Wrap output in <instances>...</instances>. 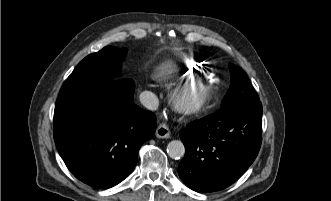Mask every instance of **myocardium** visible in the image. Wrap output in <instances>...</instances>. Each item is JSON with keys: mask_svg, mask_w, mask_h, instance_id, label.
Instances as JSON below:
<instances>
[{"mask_svg": "<svg viewBox=\"0 0 331 201\" xmlns=\"http://www.w3.org/2000/svg\"><path fill=\"white\" fill-rule=\"evenodd\" d=\"M198 86L201 89V94L198 98L191 102L184 103L179 99L180 93L188 88ZM214 94V88L212 85L204 82L189 79L185 82L175 84L169 93V100L171 105L180 113L184 115H193L201 112L211 102Z\"/></svg>", "mask_w": 331, "mask_h": 201, "instance_id": "1", "label": "myocardium"}]
</instances>
